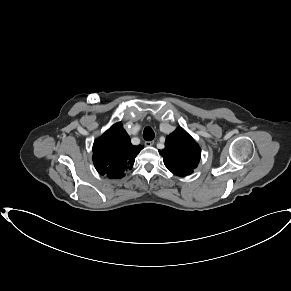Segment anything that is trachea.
Here are the masks:
<instances>
[{
    "mask_svg": "<svg viewBox=\"0 0 291 291\" xmlns=\"http://www.w3.org/2000/svg\"><path fill=\"white\" fill-rule=\"evenodd\" d=\"M143 137L145 140L147 141H151L152 139H154L155 134L154 131L152 130L151 127L147 126L144 131H143Z\"/></svg>",
    "mask_w": 291,
    "mask_h": 291,
    "instance_id": "3493384b",
    "label": "trachea"
}]
</instances>
